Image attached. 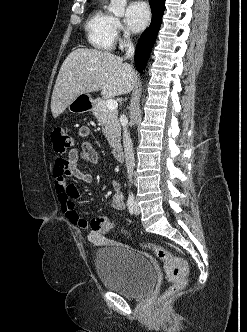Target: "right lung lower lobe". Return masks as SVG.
Segmentation results:
<instances>
[{"mask_svg": "<svg viewBox=\"0 0 247 332\" xmlns=\"http://www.w3.org/2000/svg\"><path fill=\"white\" fill-rule=\"evenodd\" d=\"M152 10V20L149 28L145 30L137 44L135 64L139 72H142L148 60L151 49L162 23V16L165 10V0H149Z\"/></svg>", "mask_w": 247, "mask_h": 332, "instance_id": "98d812e1", "label": "right lung lower lobe"}]
</instances>
